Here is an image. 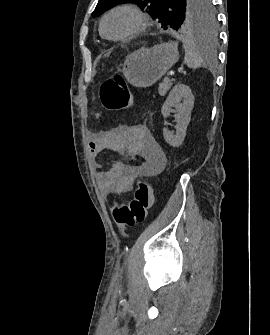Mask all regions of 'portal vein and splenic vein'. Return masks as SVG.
<instances>
[{
  "instance_id": "1",
  "label": "portal vein and splenic vein",
  "mask_w": 270,
  "mask_h": 335,
  "mask_svg": "<svg viewBox=\"0 0 270 335\" xmlns=\"http://www.w3.org/2000/svg\"><path fill=\"white\" fill-rule=\"evenodd\" d=\"M174 74V72H169V74L167 75L169 78Z\"/></svg>"
}]
</instances>
